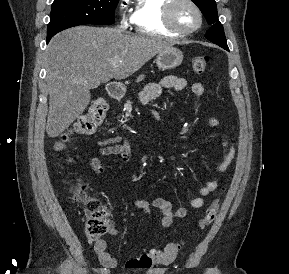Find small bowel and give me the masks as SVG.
Here are the masks:
<instances>
[{
  "mask_svg": "<svg viewBox=\"0 0 289 274\" xmlns=\"http://www.w3.org/2000/svg\"><path fill=\"white\" fill-rule=\"evenodd\" d=\"M188 85V82L184 78L169 75L164 77L158 83H149L144 87L140 93V100L142 103H147L160 96L163 89H173L176 91L184 90ZM191 91L197 96H202L205 92V87L200 82H195L191 85ZM152 118L155 122H158L159 117L156 112L152 113ZM207 123L209 126L215 128L220 137V144L222 147V157L216 166V174L222 175L227 171L235 156V145L233 142H229L225 135L220 131V123L214 117H208ZM120 137H114L112 139L102 142L100 153L103 156H118L123 161H128L131 157V151L128 143L117 145L115 143L120 141ZM90 165L96 173H103L106 171V167L101 163L97 157L90 159ZM218 179L208 180L202 185L198 191L197 196L192 198L188 206L193 209H199L204 206V198L212 193L218 187ZM135 207L143 212H150L151 208H156L161 212L160 225L162 229L171 226L175 219H183L187 216V207L173 208L171 202L163 198H155L151 202H148L139 197L134 198ZM116 233L114 229L112 234ZM94 251L98 256V259L102 266L105 268H115L118 264L117 260L111 256L108 251V244L105 240H97L94 244Z\"/></svg>",
  "mask_w": 289,
  "mask_h": 274,
  "instance_id": "c3829d8e",
  "label": "small bowel"
}]
</instances>
